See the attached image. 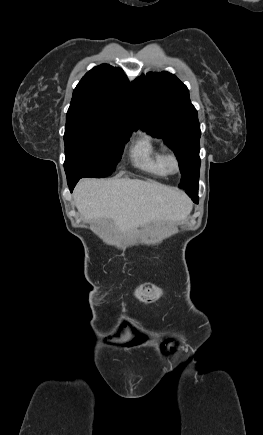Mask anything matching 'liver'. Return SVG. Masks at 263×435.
<instances>
[{
    "instance_id": "6515ba94",
    "label": "liver",
    "mask_w": 263,
    "mask_h": 435,
    "mask_svg": "<svg viewBox=\"0 0 263 435\" xmlns=\"http://www.w3.org/2000/svg\"><path fill=\"white\" fill-rule=\"evenodd\" d=\"M73 198L86 220L112 219L123 233L152 221L179 222L192 210L180 190L130 178L84 179Z\"/></svg>"
}]
</instances>
